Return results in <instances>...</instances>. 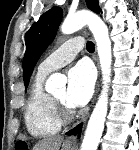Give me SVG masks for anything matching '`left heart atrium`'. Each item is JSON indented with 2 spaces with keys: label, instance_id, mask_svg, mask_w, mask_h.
Wrapping results in <instances>:
<instances>
[{
  "label": "left heart atrium",
  "instance_id": "39dd6f15",
  "mask_svg": "<svg viewBox=\"0 0 139 150\" xmlns=\"http://www.w3.org/2000/svg\"><path fill=\"white\" fill-rule=\"evenodd\" d=\"M95 74L86 62H80L68 72L66 102L70 107L84 106L94 91Z\"/></svg>",
  "mask_w": 139,
  "mask_h": 150
}]
</instances>
